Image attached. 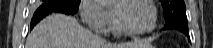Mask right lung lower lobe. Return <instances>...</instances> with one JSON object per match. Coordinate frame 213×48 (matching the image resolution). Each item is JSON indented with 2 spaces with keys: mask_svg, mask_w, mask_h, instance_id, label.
Listing matches in <instances>:
<instances>
[{
  "mask_svg": "<svg viewBox=\"0 0 213 48\" xmlns=\"http://www.w3.org/2000/svg\"><path fill=\"white\" fill-rule=\"evenodd\" d=\"M53 12H61L65 14L73 15L76 12L71 11L68 7H66L63 3L49 0L44 2L34 13V17L32 19V26L31 29L43 18Z\"/></svg>",
  "mask_w": 213,
  "mask_h": 48,
  "instance_id": "98d812e1",
  "label": "right lung lower lobe"
}]
</instances>
